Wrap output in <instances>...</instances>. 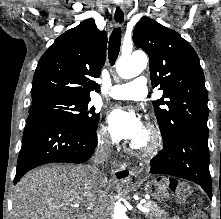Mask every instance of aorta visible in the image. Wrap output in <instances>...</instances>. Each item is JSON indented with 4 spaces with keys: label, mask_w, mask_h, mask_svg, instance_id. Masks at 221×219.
<instances>
[{
    "label": "aorta",
    "mask_w": 221,
    "mask_h": 219,
    "mask_svg": "<svg viewBox=\"0 0 221 219\" xmlns=\"http://www.w3.org/2000/svg\"><path fill=\"white\" fill-rule=\"evenodd\" d=\"M147 66V57L144 53L134 52L131 55H122L116 63L117 74L124 79H130L139 75ZM124 217L123 205L117 203L114 211V219Z\"/></svg>",
    "instance_id": "obj_1"
}]
</instances>
